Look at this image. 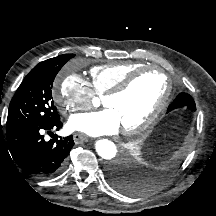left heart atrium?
Listing matches in <instances>:
<instances>
[{
    "mask_svg": "<svg viewBox=\"0 0 216 216\" xmlns=\"http://www.w3.org/2000/svg\"><path fill=\"white\" fill-rule=\"evenodd\" d=\"M69 130L80 131L89 136L110 135L120 129L117 114L109 107L97 112L74 114L67 123Z\"/></svg>",
    "mask_w": 216,
    "mask_h": 216,
    "instance_id": "39dd6f15",
    "label": "left heart atrium"
}]
</instances>
